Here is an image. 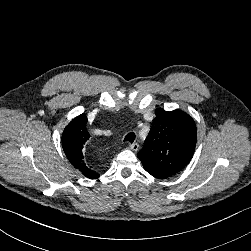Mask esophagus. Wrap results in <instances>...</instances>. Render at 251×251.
<instances>
[{
    "label": "esophagus",
    "instance_id": "1",
    "mask_svg": "<svg viewBox=\"0 0 251 251\" xmlns=\"http://www.w3.org/2000/svg\"><path fill=\"white\" fill-rule=\"evenodd\" d=\"M139 148V144L138 143H133L130 145V149L133 151H137Z\"/></svg>",
    "mask_w": 251,
    "mask_h": 251
}]
</instances>
